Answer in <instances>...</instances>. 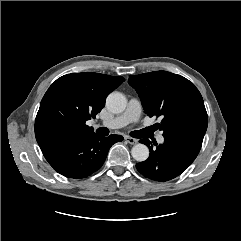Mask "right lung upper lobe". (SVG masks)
Segmentation results:
<instances>
[{
    "mask_svg": "<svg viewBox=\"0 0 241 241\" xmlns=\"http://www.w3.org/2000/svg\"><path fill=\"white\" fill-rule=\"evenodd\" d=\"M124 80L121 76L93 72L72 73L57 79L45 93L36 116L39 146L94 133L86 121L102 110L108 94Z\"/></svg>",
    "mask_w": 241,
    "mask_h": 241,
    "instance_id": "cb5924a9",
    "label": "right lung upper lobe"
}]
</instances>
